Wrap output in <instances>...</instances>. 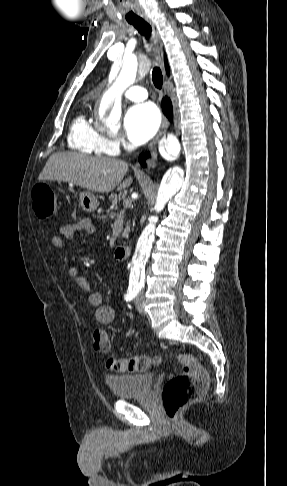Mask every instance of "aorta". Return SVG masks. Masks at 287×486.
Instances as JSON below:
<instances>
[{"mask_svg":"<svg viewBox=\"0 0 287 486\" xmlns=\"http://www.w3.org/2000/svg\"><path fill=\"white\" fill-rule=\"evenodd\" d=\"M136 74L137 65L132 62H124L118 76L108 91L107 98H104L99 103L97 117L107 127L115 128L118 126L121 116L120 95L135 81ZM165 148L168 154L172 156L179 155L181 146L178 138L174 134H168L167 140L165 141ZM182 182L183 178L181 174L179 171H175L166 182L162 183L155 205L156 213L160 212L166 202L179 191ZM151 219L157 221L158 217L154 214L151 216ZM154 238V225L150 222L143 229L136 245L130 275V281L132 283H143V266L150 255Z\"/></svg>","mask_w":287,"mask_h":486,"instance_id":"1","label":"aorta"}]
</instances>
